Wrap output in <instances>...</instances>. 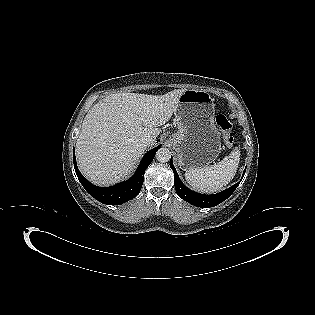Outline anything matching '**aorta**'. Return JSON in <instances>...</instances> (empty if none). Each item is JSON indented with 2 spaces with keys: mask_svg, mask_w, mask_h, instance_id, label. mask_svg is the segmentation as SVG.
Here are the masks:
<instances>
[{
  "mask_svg": "<svg viewBox=\"0 0 315 315\" xmlns=\"http://www.w3.org/2000/svg\"><path fill=\"white\" fill-rule=\"evenodd\" d=\"M171 158V152L168 148L162 147L156 153V159L159 162L165 163L168 162Z\"/></svg>",
  "mask_w": 315,
  "mask_h": 315,
  "instance_id": "obj_1",
  "label": "aorta"
}]
</instances>
